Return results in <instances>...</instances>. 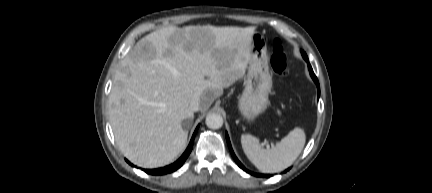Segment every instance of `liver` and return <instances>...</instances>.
Masks as SVG:
<instances>
[{"mask_svg": "<svg viewBox=\"0 0 432 193\" xmlns=\"http://www.w3.org/2000/svg\"><path fill=\"white\" fill-rule=\"evenodd\" d=\"M255 27H164L140 39L121 61L109 95L115 141L132 163L162 167L186 147L190 102L209 109L244 77Z\"/></svg>", "mask_w": 432, "mask_h": 193, "instance_id": "obj_1", "label": "liver"}]
</instances>
